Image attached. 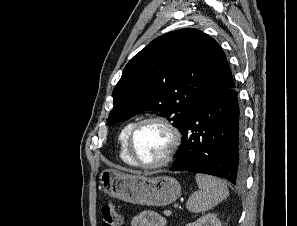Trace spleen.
I'll return each instance as SVG.
<instances>
[{
  "instance_id": "spleen-1",
  "label": "spleen",
  "mask_w": 297,
  "mask_h": 226,
  "mask_svg": "<svg viewBox=\"0 0 297 226\" xmlns=\"http://www.w3.org/2000/svg\"><path fill=\"white\" fill-rule=\"evenodd\" d=\"M195 178L199 191L194 192L187 201L190 212L208 211L228 197L229 190L220 179L205 174H196Z\"/></svg>"
}]
</instances>
